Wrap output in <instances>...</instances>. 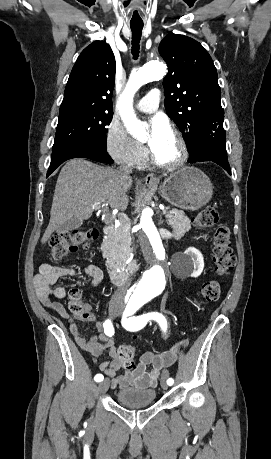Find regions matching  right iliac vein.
I'll return each instance as SVG.
<instances>
[{"mask_svg":"<svg viewBox=\"0 0 271 459\" xmlns=\"http://www.w3.org/2000/svg\"><path fill=\"white\" fill-rule=\"evenodd\" d=\"M121 308L117 307L115 308L113 311H112V315L115 317L117 316L118 314L121 313ZM109 384H110V380L109 379H105L103 380L99 385H98V391L100 393H105L108 388H109Z\"/></svg>","mask_w":271,"mask_h":459,"instance_id":"obj_1","label":"right iliac vein"}]
</instances>
